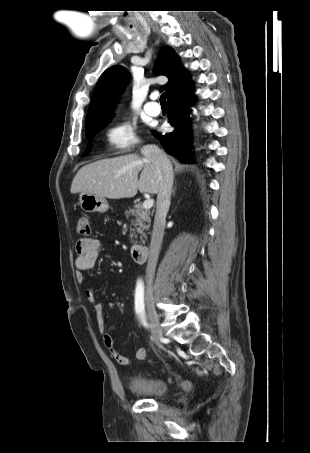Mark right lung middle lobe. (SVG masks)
Listing matches in <instances>:
<instances>
[{
    "instance_id": "1",
    "label": "right lung middle lobe",
    "mask_w": 310,
    "mask_h": 453,
    "mask_svg": "<svg viewBox=\"0 0 310 453\" xmlns=\"http://www.w3.org/2000/svg\"><path fill=\"white\" fill-rule=\"evenodd\" d=\"M105 123L86 129V136L89 140H92L94 135L104 127ZM91 149V144L88 145L85 154H88Z\"/></svg>"
}]
</instances>
